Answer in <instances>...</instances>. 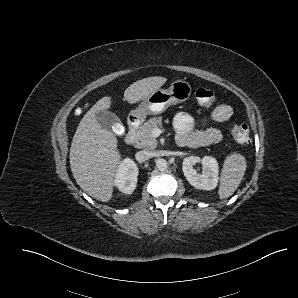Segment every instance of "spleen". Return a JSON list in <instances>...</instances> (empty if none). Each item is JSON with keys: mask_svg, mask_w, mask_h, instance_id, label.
I'll return each mask as SVG.
<instances>
[{"mask_svg": "<svg viewBox=\"0 0 298 298\" xmlns=\"http://www.w3.org/2000/svg\"><path fill=\"white\" fill-rule=\"evenodd\" d=\"M245 157L233 153L226 157L220 174L218 194L220 199L231 196L241 183L246 171Z\"/></svg>", "mask_w": 298, "mask_h": 298, "instance_id": "obj_1", "label": "spleen"}]
</instances>
